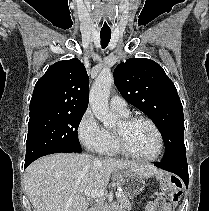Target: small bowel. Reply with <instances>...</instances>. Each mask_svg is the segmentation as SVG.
Listing matches in <instances>:
<instances>
[{"instance_id": "c3829d8e", "label": "small bowel", "mask_w": 209, "mask_h": 211, "mask_svg": "<svg viewBox=\"0 0 209 211\" xmlns=\"http://www.w3.org/2000/svg\"><path fill=\"white\" fill-rule=\"evenodd\" d=\"M145 211H172V208L162 197H157L147 203Z\"/></svg>"}]
</instances>
